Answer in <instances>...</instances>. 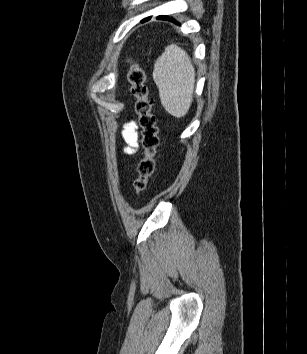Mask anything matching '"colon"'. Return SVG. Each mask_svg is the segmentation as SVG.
<instances>
[{"label":"colon","mask_w":307,"mask_h":354,"mask_svg":"<svg viewBox=\"0 0 307 354\" xmlns=\"http://www.w3.org/2000/svg\"><path fill=\"white\" fill-rule=\"evenodd\" d=\"M128 80L131 92L136 103V112L139 116L142 128L143 157L138 165V177L134 182L137 195H141L147 188L150 177L155 169V153L159 144L158 127L156 117L152 112V100L148 96L145 83V73L141 66L134 60H130Z\"/></svg>","instance_id":"5ec220e1"}]
</instances>
